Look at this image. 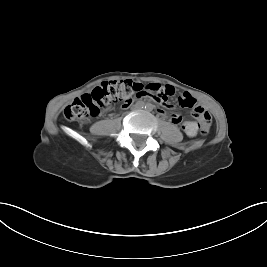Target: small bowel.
I'll use <instances>...</instances> for the list:
<instances>
[{
	"label": "small bowel",
	"instance_id": "c3829d8e",
	"mask_svg": "<svg viewBox=\"0 0 267 267\" xmlns=\"http://www.w3.org/2000/svg\"><path fill=\"white\" fill-rule=\"evenodd\" d=\"M177 117H179V116H177ZM174 122L175 123H181L182 119L179 117L177 120H175V117H174ZM182 127L190 135H194L197 131L195 124L193 122H190V121L184 122L182 124Z\"/></svg>",
	"mask_w": 267,
	"mask_h": 267
}]
</instances>
